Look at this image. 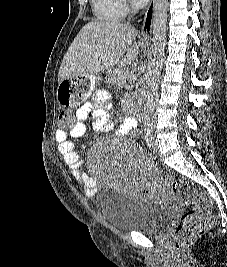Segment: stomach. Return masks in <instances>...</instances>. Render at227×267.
<instances>
[{"mask_svg":"<svg viewBox=\"0 0 227 267\" xmlns=\"http://www.w3.org/2000/svg\"><path fill=\"white\" fill-rule=\"evenodd\" d=\"M99 79L94 74L62 77L61 87H58L56 101L60 107H78L86 102L85 96H90Z\"/></svg>","mask_w":227,"mask_h":267,"instance_id":"1","label":"stomach"}]
</instances>
